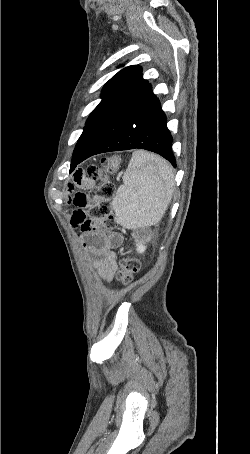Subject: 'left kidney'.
Returning a JSON list of instances; mask_svg holds the SVG:
<instances>
[{
  "instance_id": "5707ae66",
  "label": "left kidney",
  "mask_w": 250,
  "mask_h": 454,
  "mask_svg": "<svg viewBox=\"0 0 250 454\" xmlns=\"http://www.w3.org/2000/svg\"><path fill=\"white\" fill-rule=\"evenodd\" d=\"M136 250L138 253H144L146 250V246L143 241H137L136 242Z\"/></svg>"
}]
</instances>
